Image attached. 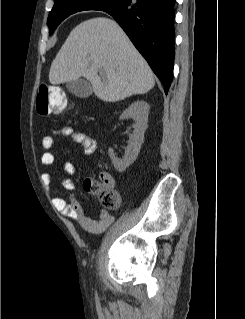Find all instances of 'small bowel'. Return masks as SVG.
I'll return each mask as SVG.
<instances>
[{"label":"small bowel","mask_w":245,"mask_h":319,"mask_svg":"<svg viewBox=\"0 0 245 319\" xmlns=\"http://www.w3.org/2000/svg\"><path fill=\"white\" fill-rule=\"evenodd\" d=\"M56 136L70 137L75 142L80 143L83 147L84 154L88 156L92 155L97 147V142L93 136L75 131L71 126L54 129L48 132L42 139L41 145L43 153L41 156V164L43 166H51L54 163L55 155L52 149ZM63 169L66 176L62 178L61 185L68 193L66 198L60 196V191L53 186L51 174L44 173L42 175L45 186L56 195L53 199L55 208L60 211L62 215L77 222L85 231L91 234H99L106 230L113 222L114 217L105 210L101 211L98 219H92L87 216L74 194L76 186L71 179V176L76 173L75 165L72 162L67 161L63 164ZM102 181L108 189L114 188V180L109 174L104 173L102 175Z\"/></svg>","instance_id":"obj_1"}]
</instances>
